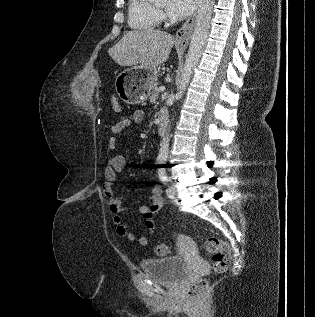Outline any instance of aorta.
Returning a JSON list of instances; mask_svg holds the SVG:
<instances>
[{
    "label": "aorta",
    "mask_w": 315,
    "mask_h": 317,
    "mask_svg": "<svg viewBox=\"0 0 315 317\" xmlns=\"http://www.w3.org/2000/svg\"><path fill=\"white\" fill-rule=\"evenodd\" d=\"M214 1L215 0H199L195 27L191 37L189 51L186 56V61L182 72V79L179 85V91L176 95L178 99L183 97L186 87L189 84L193 74V70L199 62L203 48L206 45ZM169 140L170 127L166 131L162 142L160 143L157 160L164 161L167 159L169 152Z\"/></svg>",
    "instance_id": "aorta-1"
}]
</instances>
